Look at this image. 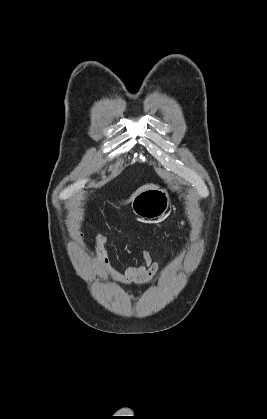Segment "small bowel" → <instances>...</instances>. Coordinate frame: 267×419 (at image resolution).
Here are the masks:
<instances>
[{
  "label": "small bowel",
  "mask_w": 267,
  "mask_h": 419,
  "mask_svg": "<svg viewBox=\"0 0 267 419\" xmlns=\"http://www.w3.org/2000/svg\"><path fill=\"white\" fill-rule=\"evenodd\" d=\"M83 238L81 232L76 233L75 240L80 242ZM107 237L105 234H99L96 238V253L98 266L111 280L117 283H129V282H148L150 281L159 271V263L153 261L150 253L144 250L142 253L143 261L139 265L129 266L123 272L115 270L105 253V243Z\"/></svg>",
  "instance_id": "1"
}]
</instances>
